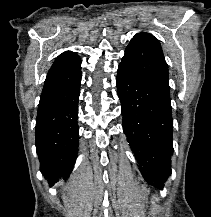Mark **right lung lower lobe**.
Segmentation results:
<instances>
[{
	"label": "right lung lower lobe",
	"instance_id": "right-lung-lower-lobe-1",
	"mask_svg": "<svg viewBox=\"0 0 211 217\" xmlns=\"http://www.w3.org/2000/svg\"><path fill=\"white\" fill-rule=\"evenodd\" d=\"M81 72L70 83L41 94L36 119V151L49 185L69 177L78 151Z\"/></svg>",
	"mask_w": 211,
	"mask_h": 217
}]
</instances>
